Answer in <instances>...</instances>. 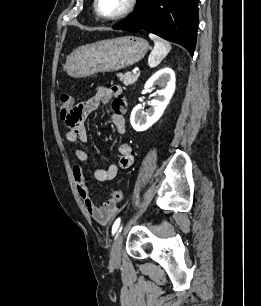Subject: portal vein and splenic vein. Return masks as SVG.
<instances>
[{
  "mask_svg": "<svg viewBox=\"0 0 261 306\" xmlns=\"http://www.w3.org/2000/svg\"><path fill=\"white\" fill-rule=\"evenodd\" d=\"M137 72H138V69H134V70H133V73H134V74H137Z\"/></svg>",
  "mask_w": 261,
  "mask_h": 306,
  "instance_id": "obj_1",
  "label": "portal vein and splenic vein"
}]
</instances>
